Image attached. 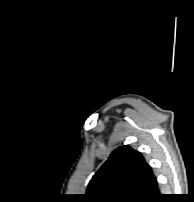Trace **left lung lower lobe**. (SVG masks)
I'll list each match as a JSON object with an SVG mask.
<instances>
[{
  "label": "left lung lower lobe",
  "mask_w": 194,
  "mask_h": 202,
  "mask_svg": "<svg viewBox=\"0 0 194 202\" xmlns=\"http://www.w3.org/2000/svg\"><path fill=\"white\" fill-rule=\"evenodd\" d=\"M159 198H161V194H159V192H158L153 201H157V199H159Z\"/></svg>",
  "instance_id": "0a47b994"
}]
</instances>
